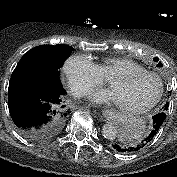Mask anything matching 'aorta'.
Listing matches in <instances>:
<instances>
[{
    "instance_id": "762f6f07",
    "label": "aorta",
    "mask_w": 177,
    "mask_h": 177,
    "mask_svg": "<svg viewBox=\"0 0 177 177\" xmlns=\"http://www.w3.org/2000/svg\"><path fill=\"white\" fill-rule=\"evenodd\" d=\"M118 133L117 127L114 124L108 123L102 127V134L106 139L113 140Z\"/></svg>"
}]
</instances>
